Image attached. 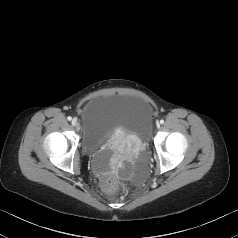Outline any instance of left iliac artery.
<instances>
[{
    "label": "left iliac artery",
    "mask_w": 238,
    "mask_h": 238,
    "mask_svg": "<svg viewBox=\"0 0 238 238\" xmlns=\"http://www.w3.org/2000/svg\"><path fill=\"white\" fill-rule=\"evenodd\" d=\"M160 123H161V124H163V123H164V120H163V119H162V120H160Z\"/></svg>",
    "instance_id": "left-iliac-artery-1"
}]
</instances>
